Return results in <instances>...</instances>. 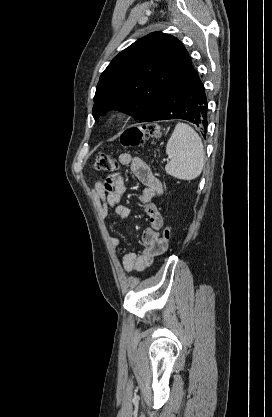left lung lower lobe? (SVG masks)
<instances>
[{
	"mask_svg": "<svg viewBox=\"0 0 272 417\" xmlns=\"http://www.w3.org/2000/svg\"><path fill=\"white\" fill-rule=\"evenodd\" d=\"M207 97L197 71L189 63L141 122L183 119L207 132Z\"/></svg>",
	"mask_w": 272,
	"mask_h": 417,
	"instance_id": "left-lung-lower-lobe-1",
	"label": "left lung lower lobe"
}]
</instances>
